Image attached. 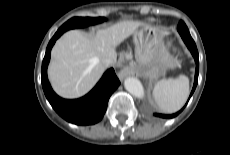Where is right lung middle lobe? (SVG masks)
<instances>
[{
	"mask_svg": "<svg viewBox=\"0 0 230 155\" xmlns=\"http://www.w3.org/2000/svg\"><path fill=\"white\" fill-rule=\"evenodd\" d=\"M106 18L104 17H98V18H91V17H74L68 20L66 23H64L58 31L61 33H64L65 31L69 29H74V28H81V27H86L89 25H94L101 23L105 21Z\"/></svg>",
	"mask_w": 230,
	"mask_h": 155,
	"instance_id": "right-lung-middle-lobe-1",
	"label": "right lung middle lobe"
}]
</instances>
